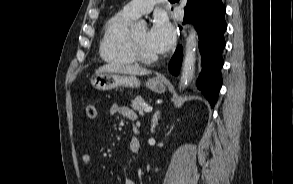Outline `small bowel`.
<instances>
[{
    "instance_id": "obj_1",
    "label": "small bowel",
    "mask_w": 293,
    "mask_h": 184,
    "mask_svg": "<svg viewBox=\"0 0 293 184\" xmlns=\"http://www.w3.org/2000/svg\"><path fill=\"white\" fill-rule=\"evenodd\" d=\"M110 114L115 115L119 114L123 118L129 120V121H135L137 119L136 113L129 107L119 105V104H114L110 108ZM129 148L132 153H136L139 149V142L136 138L132 137L129 142ZM81 161L84 166L85 170V177L87 181L90 180L91 178V157L89 154L84 153L81 156ZM124 184H136L134 180L127 178L124 182Z\"/></svg>"
}]
</instances>
